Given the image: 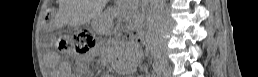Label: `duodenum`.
I'll return each mask as SVG.
<instances>
[{"label": "duodenum", "mask_w": 258, "mask_h": 77, "mask_svg": "<svg viewBox=\"0 0 258 77\" xmlns=\"http://www.w3.org/2000/svg\"><path fill=\"white\" fill-rule=\"evenodd\" d=\"M144 41H145V43L147 44V46H148V48H149V50H150V45H149L148 39L145 38Z\"/></svg>", "instance_id": "obj_1"}]
</instances>
